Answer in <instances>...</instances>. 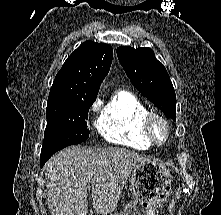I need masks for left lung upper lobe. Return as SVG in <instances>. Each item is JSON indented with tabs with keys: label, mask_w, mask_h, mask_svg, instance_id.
<instances>
[{
	"label": "left lung upper lobe",
	"mask_w": 221,
	"mask_h": 215,
	"mask_svg": "<svg viewBox=\"0 0 221 215\" xmlns=\"http://www.w3.org/2000/svg\"><path fill=\"white\" fill-rule=\"evenodd\" d=\"M118 59L135 88L166 117L176 121V95L169 75L150 48H117Z\"/></svg>",
	"instance_id": "5c2ea615"
}]
</instances>
